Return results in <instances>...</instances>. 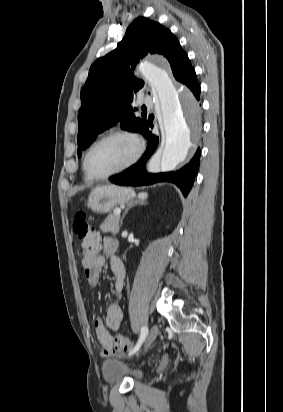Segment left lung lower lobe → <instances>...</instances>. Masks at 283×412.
<instances>
[{"label":"left lung lower lobe","mask_w":283,"mask_h":412,"mask_svg":"<svg viewBox=\"0 0 283 412\" xmlns=\"http://www.w3.org/2000/svg\"><path fill=\"white\" fill-rule=\"evenodd\" d=\"M185 84L194 94L196 99L200 97V86L198 84L194 69L180 81ZM153 126L148 123L147 127L141 132L148 140V147L141 160L126 169L124 172L111 176L109 180L118 185L142 186L152 185L159 182H170L178 186L182 194L186 197L194 183V176L199 168L200 150L198 149L191 161L178 171L165 173H147L145 165L150 156L155 152L159 138L151 133Z\"/></svg>","instance_id":"obj_1"}]
</instances>
